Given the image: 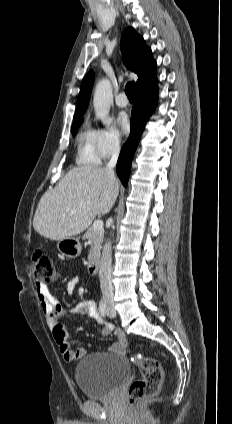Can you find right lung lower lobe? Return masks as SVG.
I'll return each mask as SVG.
<instances>
[{
  "instance_id": "1",
  "label": "right lung lower lobe",
  "mask_w": 232,
  "mask_h": 424,
  "mask_svg": "<svg viewBox=\"0 0 232 424\" xmlns=\"http://www.w3.org/2000/svg\"><path fill=\"white\" fill-rule=\"evenodd\" d=\"M157 99V78L146 87L138 89L135 92L130 136L123 145L117 162V175L124 186L128 182L133 155L140 141L145 124L156 106Z\"/></svg>"
}]
</instances>
